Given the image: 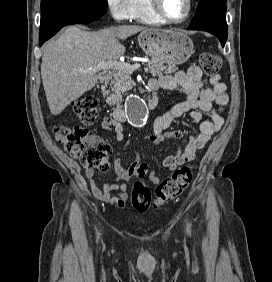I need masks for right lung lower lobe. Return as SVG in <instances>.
<instances>
[{
  "label": "right lung lower lobe",
  "instance_id": "1",
  "mask_svg": "<svg viewBox=\"0 0 272 282\" xmlns=\"http://www.w3.org/2000/svg\"><path fill=\"white\" fill-rule=\"evenodd\" d=\"M98 6H68L52 9L41 17L39 45L55 35L62 27L71 24L89 23L106 13Z\"/></svg>",
  "mask_w": 272,
  "mask_h": 282
}]
</instances>
